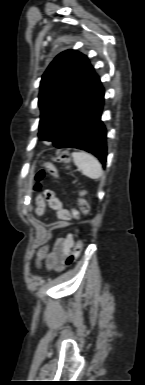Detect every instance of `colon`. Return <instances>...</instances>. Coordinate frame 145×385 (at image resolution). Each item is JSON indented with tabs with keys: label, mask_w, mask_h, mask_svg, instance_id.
<instances>
[{
	"label": "colon",
	"mask_w": 145,
	"mask_h": 385,
	"mask_svg": "<svg viewBox=\"0 0 145 385\" xmlns=\"http://www.w3.org/2000/svg\"><path fill=\"white\" fill-rule=\"evenodd\" d=\"M69 160H70V157H69V154L67 152H62L56 156V161L66 165L67 167L69 164ZM46 173L52 175L53 177H55L57 179L59 178L58 169L52 163H45L44 167L41 170H39L35 176V179H36L35 190H39L41 188V180L44 178ZM84 195H85V192L81 191L79 196H78L77 204H78L79 210L72 209V213L75 216H79L80 213L83 214L84 216L89 215L90 207H89V204H88L87 200L85 199ZM83 246H84L83 241L81 239H79L76 242L74 249L72 251V254L70 255V257L68 259L69 264L73 263L78 258L81 251L83 250Z\"/></svg>",
	"instance_id": "colon-1"
}]
</instances>
